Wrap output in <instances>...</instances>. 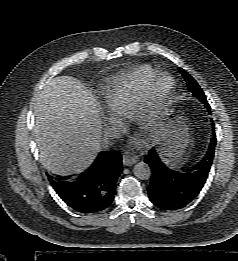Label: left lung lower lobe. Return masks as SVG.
I'll use <instances>...</instances> for the list:
<instances>
[{"label":"left lung lower lobe","instance_id":"obj_1","mask_svg":"<svg viewBox=\"0 0 238 261\" xmlns=\"http://www.w3.org/2000/svg\"><path fill=\"white\" fill-rule=\"evenodd\" d=\"M211 113L208 102L204 103ZM212 138L205 157L197 165L184 168L163 162L158 152L152 148L145 162L151 169V182L147 187L151 202L163 210H178L189 204L201 191L210 171L215 146L216 134L212 124Z\"/></svg>","mask_w":238,"mask_h":261}]
</instances>
